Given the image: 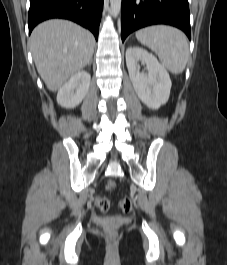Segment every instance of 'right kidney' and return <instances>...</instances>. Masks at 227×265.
Returning <instances> with one entry per match:
<instances>
[{
  "label": "right kidney",
  "mask_w": 227,
  "mask_h": 265,
  "mask_svg": "<svg viewBox=\"0 0 227 265\" xmlns=\"http://www.w3.org/2000/svg\"><path fill=\"white\" fill-rule=\"evenodd\" d=\"M90 85V74L79 71L57 93V103L65 108L78 106L85 98Z\"/></svg>",
  "instance_id": "right-kidney-1"
}]
</instances>
